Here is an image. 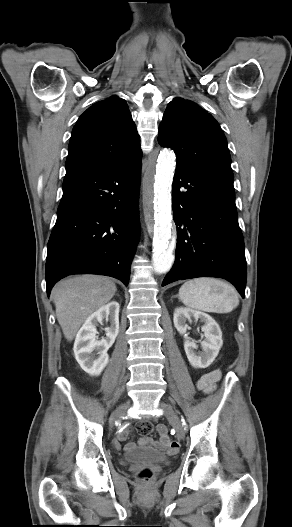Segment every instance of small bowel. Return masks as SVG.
Listing matches in <instances>:
<instances>
[{"mask_svg": "<svg viewBox=\"0 0 292 527\" xmlns=\"http://www.w3.org/2000/svg\"><path fill=\"white\" fill-rule=\"evenodd\" d=\"M219 377H220V372L218 370H214V371H211L203 375L198 382V388L204 393L211 392L214 389L215 384L218 381ZM129 432H130V427L127 425H126V430L119 431L116 439L113 442L114 448L116 450H120L122 448V442L126 440ZM157 432H158L159 440H153L150 437H148L147 436L148 434H147V435H143V437L139 440V445L144 446V447L153 446V447H157L159 449L167 450L171 452H174L178 448L177 443L172 441L169 438V434H168L169 428H168L167 422L165 421L160 422L158 424ZM134 448H135L134 443H128L126 445V450L131 451Z\"/></svg>", "mask_w": 292, "mask_h": 527, "instance_id": "c3829d8e", "label": "small bowel"}]
</instances>
